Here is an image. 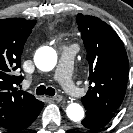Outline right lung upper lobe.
<instances>
[{
	"mask_svg": "<svg viewBox=\"0 0 133 133\" xmlns=\"http://www.w3.org/2000/svg\"><path fill=\"white\" fill-rule=\"evenodd\" d=\"M35 20L8 18L0 20V127L7 129L18 122L40 101L16 87L23 80L15 75L21 67V54Z\"/></svg>",
	"mask_w": 133,
	"mask_h": 133,
	"instance_id": "right-lung-upper-lobe-1",
	"label": "right lung upper lobe"
}]
</instances>
